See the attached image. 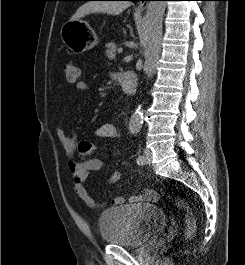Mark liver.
Wrapping results in <instances>:
<instances>
[{
  "instance_id": "6515ba94",
  "label": "liver",
  "mask_w": 245,
  "mask_h": 265,
  "mask_svg": "<svg viewBox=\"0 0 245 265\" xmlns=\"http://www.w3.org/2000/svg\"><path fill=\"white\" fill-rule=\"evenodd\" d=\"M130 5L127 1H90L79 7L70 20H79L90 13L119 15Z\"/></svg>"
}]
</instances>
